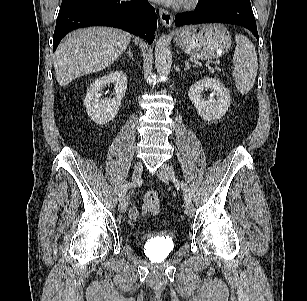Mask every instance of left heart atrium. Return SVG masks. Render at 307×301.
Returning <instances> with one entry per match:
<instances>
[{"label": "left heart atrium", "mask_w": 307, "mask_h": 301, "mask_svg": "<svg viewBox=\"0 0 307 301\" xmlns=\"http://www.w3.org/2000/svg\"><path fill=\"white\" fill-rule=\"evenodd\" d=\"M154 1L170 4L179 0H154Z\"/></svg>", "instance_id": "obj_1"}]
</instances>
